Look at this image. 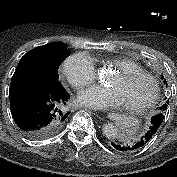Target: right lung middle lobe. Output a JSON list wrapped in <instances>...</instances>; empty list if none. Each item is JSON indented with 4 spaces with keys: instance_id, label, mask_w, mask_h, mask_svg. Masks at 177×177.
I'll use <instances>...</instances> for the list:
<instances>
[{
    "instance_id": "dd1d6c3e",
    "label": "right lung middle lobe",
    "mask_w": 177,
    "mask_h": 177,
    "mask_svg": "<svg viewBox=\"0 0 177 177\" xmlns=\"http://www.w3.org/2000/svg\"><path fill=\"white\" fill-rule=\"evenodd\" d=\"M68 55L63 43L47 49L42 46L32 49L21 58L12 76L11 85L30 84L54 91L64 90L59 81L58 69Z\"/></svg>"
}]
</instances>
